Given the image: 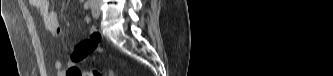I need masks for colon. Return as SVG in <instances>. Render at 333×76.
Listing matches in <instances>:
<instances>
[{
    "mask_svg": "<svg viewBox=\"0 0 333 76\" xmlns=\"http://www.w3.org/2000/svg\"><path fill=\"white\" fill-rule=\"evenodd\" d=\"M81 75H83L82 70H81ZM87 75H89V76H102V73L97 69H91L90 71L87 72ZM109 75L114 76L115 74H114L113 71H110Z\"/></svg>",
    "mask_w": 333,
    "mask_h": 76,
    "instance_id": "obj_1",
    "label": "colon"
}]
</instances>
